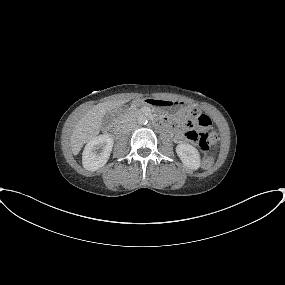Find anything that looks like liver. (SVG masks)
<instances>
[{
  "label": "liver",
  "mask_w": 285,
  "mask_h": 285,
  "mask_svg": "<svg viewBox=\"0 0 285 285\" xmlns=\"http://www.w3.org/2000/svg\"><path fill=\"white\" fill-rule=\"evenodd\" d=\"M127 100L108 101L99 103L91 108L76 124L71 137L70 144L72 152L77 155L83 145L95 138L101 128L103 116L106 112L122 106Z\"/></svg>",
  "instance_id": "1"
}]
</instances>
